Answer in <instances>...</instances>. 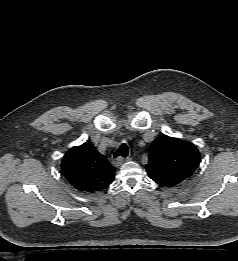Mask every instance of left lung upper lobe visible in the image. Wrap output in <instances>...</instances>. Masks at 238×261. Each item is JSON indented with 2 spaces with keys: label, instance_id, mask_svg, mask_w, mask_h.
Returning a JSON list of instances; mask_svg holds the SVG:
<instances>
[{
  "label": "left lung upper lobe",
  "instance_id": "5c2ea615",
  "mask_svg": "<svg viewBox=\"0 0 238 261\" xmlns=\"http://www.w3.org/2000/svg\"><path fill=\"white\" fill-rule=\"evenodd\" d=\"M200 154L192 143L159 136L150 146L146 170L149 177L162 186L172 187L191 176L199 165Z\"/></svg>",
  "mask_w": 238,
  "mask_h": 261
}]
</instances>
